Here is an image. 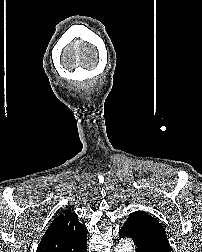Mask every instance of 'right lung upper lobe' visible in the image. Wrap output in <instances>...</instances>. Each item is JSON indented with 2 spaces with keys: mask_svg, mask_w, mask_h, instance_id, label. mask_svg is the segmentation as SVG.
<instances>
[{
  "mask_svg": "<svg viewBox=\"0 0 202 252\" xmlns=\"http://www.w3.org/2000/svg\"><path fill=\"white\" fill-rule=\"evenodd\" d=\"M87 233L74 212L64 211L50 224L36 252H84Z\"/></svg>",
  "mask_w": 202,
  "mask_h": 252,
  "instance_id": "1",
  "label": "right lung upper lobe"
}]
</instances>
